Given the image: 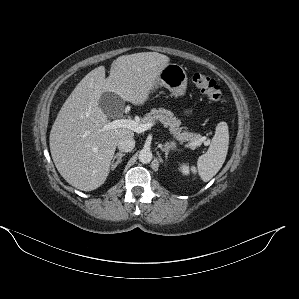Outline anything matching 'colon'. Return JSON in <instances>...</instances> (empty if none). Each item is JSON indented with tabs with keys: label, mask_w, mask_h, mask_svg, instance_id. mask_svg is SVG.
<instances>
[{
	"label": "colon",
	"mask_w": 299,
	"mask_h": 299,
	"mask_svg": "<svg viewBox=\"0 0 299 299\" xmlns=\"http://www.w3.org/2000/svg\"><path fill=\"white\" fill-rule=\"evenodd\" d=\"M194 85L212 102H221L224 94L218 83L203 73H195L192 76Z\"/></svg>",
	"instance_id": "5ec220e1"
}]
</instances>
